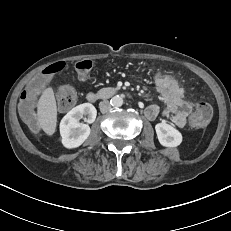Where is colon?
<instances>
[{
  "mask_svg": "<svg viewBox=\"0 0 231 231\" xmlns=\"http://www.w3.org/2000/svg\"><path fill=\"white\" fill-rule=\"evenodd\" d=\"M93 67L91 60H82L76 63L75 70L79 79L84 80L90 73ZM64 68V63L57 62L49 65L44 69L43 72L36 75L35 80L29 81L25 90L22 92L20 97L19 108L23 118L28 122L29 125L35 126V103L38 95L41 91L47 90L51 85L49 75L58 73ZM153 80H160L162 83H169L177 89H181L182 92L188 91V86L183 85L180 79L174 75L166 73H153L151 75ZM77 94L72 86L64 85L57 93V104L59 110L66 112L69 111L76 103ZM212 107L205 101H197L195 103V114L191 118V125L195 127H203L208 124L212 117Z\"/></svg>",
  "mask_w": 231,
  "mask_h": 231,
  "instance_id": "1",
  "label": "colon"
}]
</instances>
